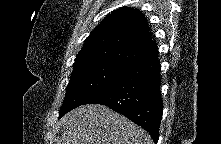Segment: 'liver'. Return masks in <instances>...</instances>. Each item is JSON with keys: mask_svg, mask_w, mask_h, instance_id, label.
<instances>
[{"mask_svg": "<svg viewBox=\"0 0 221 144\" xmlns=\"http://www.w3.org/2000/svg\"><path fill=\"white\" fill-rule=\"evenodd\" d=\"M62 144H153L146 131L104 105H84L60 120Z\"/></svg>", "mask_w": 221, "mask_h": 144, "instance_id": "liver-1", "label": "liver"}]
</instances>
